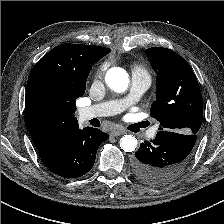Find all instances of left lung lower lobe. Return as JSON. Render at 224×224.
Here are the masks:
<instances>
[{
  "label": "left lung lower lobe",
  "instance_id": "1",
  "mask_svg": "<svg viewBox=\"0 0 224 224\" xmlns=\"http://www.w3.org/2000/svg\"><path fill=\"white\" fill-rule=\"evenodd\" d=\"M196 139V134L160 130L154 140L142 143L135 153V175L151 185L170 183L185 169Z\"/></svg>",
  "mask_w": 224,
  "mask_h": 224
}]
</instances>
